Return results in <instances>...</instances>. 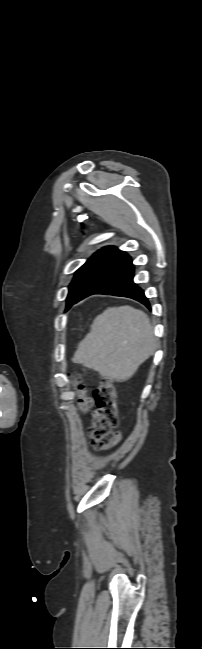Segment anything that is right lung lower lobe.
Returning a JSON list of instances; mask_svg holds the SVG:
<instances>
[{"instance_id": "98d812e1", "label": "right lung lower lobe", "mask_w": 202, "mask_h": 649, "mask_svg": "<svg viewBox=\"0 0 202 649\" xmlns=\"http://www.w3.org/2000/svg\"><path fill=\"white\" fill-rule=\"evenodd\" d=\"M134 269L129 255L117 256L86 285L79 301L92 294H107L135 299L150 309L144 291L133 281Z\"/></svg>"}]
</instances>
